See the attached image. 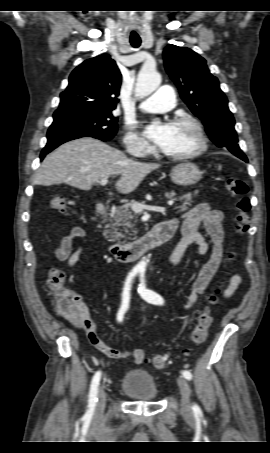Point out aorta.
<instances>
[{"label":"aorta","mask_w":270,"mask_h":453,"mask_svg":"<svg viewBox=\"0 0 270 453\" xmlns=\"http://www.w3.org/2000/svg\"><path fill=\"white\" fill-rule=\"evenodd\" d=\"M161 83V76L155 68L143 67L137 77L135 93L137 96L146 97L154 92ZM146 260H142L137 264V268L144 269Z\"/></svg>","instance_id":"1"}]
</instances>
